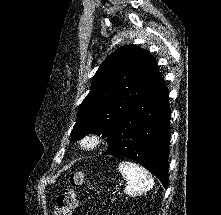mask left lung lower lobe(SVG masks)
Instances as JSON below:
<instances>
[{
    "mask_svg": "<svg viewBox=\"0 0 221 215\" xmlns=\"http://www.w3.org/2000/svg\"><path fill=\"white\" fill-rule=\"evenodd\" d=\"M170 117L165 81L158 73L149 87L121 118L104 154L129 157L154 174L166 188Z\"/></svg>",
    "mask_w": 221,
    "mask_h": 215,
    "instance_id": "0a47b994",
    "label": "left lung lower lobe"
}]
</instances>
